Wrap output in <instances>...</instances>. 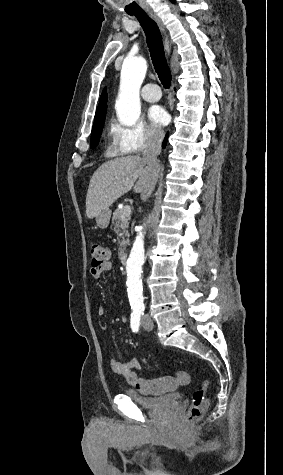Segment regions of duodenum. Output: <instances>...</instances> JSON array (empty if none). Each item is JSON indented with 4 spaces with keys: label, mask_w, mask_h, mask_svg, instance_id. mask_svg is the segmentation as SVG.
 I'll use <instances>...</instances> for the list:
<instances>
[{
    "label": "duodenum",
    "mask_w": 283,
    "mask_h": 475,
    "mask_svg": "<svg viewBox=\"0 0 283 475\" xmlns=\"http://www.w3.org/2000/svg\"><path fill=\"white\" fill-rule=\"evenodd\" d=\"M127 260H128V254L126 252H122L120 254V261L123 263V264H126L127 263Z\"/></svg>",
    "instance_id": "obj_1"
}]
</instances>
